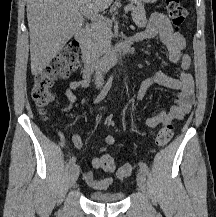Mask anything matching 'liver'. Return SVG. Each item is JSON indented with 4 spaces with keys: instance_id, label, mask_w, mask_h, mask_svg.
Wrapping results in <instances>:
<instances>
[{
    "instance_id": "1",
    "label": "liver",
    "mask_w": 216,
    "mask_h": 217,
    "mask_svg": "<svg viewBox=\"0 0 216 217\" xmlns=\"http://www.w3.org/2000/svg\"><path fill=\"white\" fill-rule=\"evenodd\" d=\"M113 1L27 0L32 74H40L82 27V11L98 13Z\"/></svg>"
}]
</instances>
